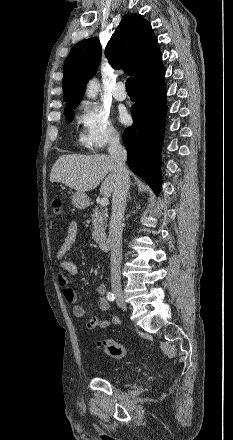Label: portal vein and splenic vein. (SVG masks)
Segmentation results:
<instances>
[{"label":"portal vein and splenic vein","instance_id":"portal-vein-and-splenic-vein-1","mask_svg":"<svg viewBox=\"0 0 233 440\" xmlns=\"http://www.w3.org/2000/svg\"><path fill=\"white\" fill-rule=\"evenodd\" d=\"M108 204H109L108 197H107V196H104V197L101 199V201H100V205H101L102 207H106Z\"/></svg>","mask_w":233,"mask_h":440}]
</instances>
